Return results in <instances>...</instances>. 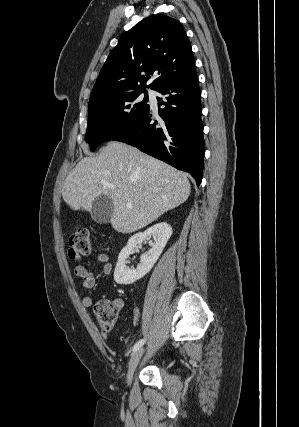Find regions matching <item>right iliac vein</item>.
Returning <instances> with one entry per match:
<instances>
[{
  "mask_svg": "<svg viewBox=\"0 0 299 427\" xmlns=\"http://www.w3.org/2000/svg\"><path fill=\"white\" fill-rule=\"evenodd\" d=\"M144 353V349L140 348L138 349L131 357L129 364H128V371L126 375V383L127 385H130L133 379V374L136 370V367Z\"/></svg>",
  "mask_w": 299,
  "mask_h": 427,
  "instance_id": "right-iliac-vein-1",
  "label": "right iliac vein"
}]
</instances>
